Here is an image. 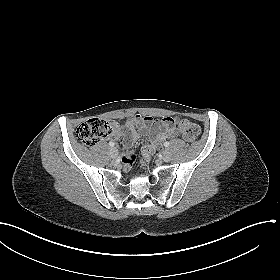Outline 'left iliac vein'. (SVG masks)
Masks as SVG:
<instances>
[{
    "label": "left iliac vein",
    "mask_w": 280,
    "mask_h": 280,
    "mask_svg": "<svg viewBox=\"0 0 280 280\" xmlns=\"http://www.w3.org/2000/svg\"><path fill=\"white\" fill-rule=\"evenodd\" d=\"M161 154H162V160L164 162H169L170 161L171 154H170L169 150L165 149V150L162 151Z\"/></svg>",
    "instance_id": "1"
}]
</instances>
